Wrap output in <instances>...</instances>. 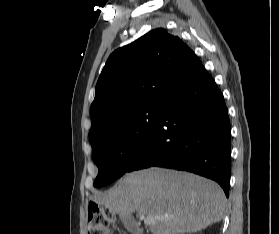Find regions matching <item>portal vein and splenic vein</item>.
Segmentation results:
<instances>
[{
	"mask_svg": "<svg viewBox=\"0 0 279 234\" xmlns=\"http://www.w3.org/2000/svg\"><path fill=\"white\" fill-rule=\"evenodd\" d=\"M154 222V219H153V217H151V216H146L145 218H144V223L145 224H151V223H153Z\"/></svg>",
	"mask_w": 279,
	"mask_h": 234,
	"instance_id": "portal-vein-and-splenic-vein-1",
	"label": "portal vein and splenic vein"
}]
</instances>
